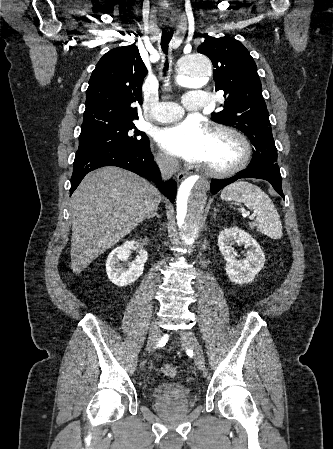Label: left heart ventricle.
I'll return each mask as SVG.
<instances>
[{
	"label": "left heart ventricle",
	"mask_w": 333,
	"mask_h": 449,
	"mask_svg": "<svg viewBox=\"0 0 333 449\" xmlns=\"http://www.w3.org/2000/svg\"><path fill=\"white\" fill-rule=\"evenodd\" d=\"M239 156L237 144L223 136L209 135L202 164L222 168L233 164Z\"/></svg>",
	"instance_id": "left-heart-ventricle-1"
}]
</instances>
